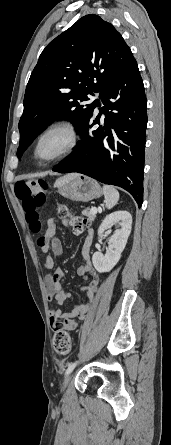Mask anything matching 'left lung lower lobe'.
Instances as JSON below:
<instances>
[{
  "mask_svg": "<svg viewBox=\"0 0 171 445\" xmlns=\"http://www.w3.org/2000/svg\"><path fill=\"white\" fill-rule=\"evenodd\" d=\"M104 104L95 120L88 116L81 143L53 171L78 172L127 190L141 207L147 100L137 63L113 76L101 90ZM95 107H100L98 100ZM94 110V109H93ZM104 111L105 119L100 124Z\"/></svg>",
  "mask_w": 171,
  "mask_h": 445,
  "instance_id": "left-lung-lower-lobe-1",
  "label": "left lung lower lobe"
}]
</instances>
